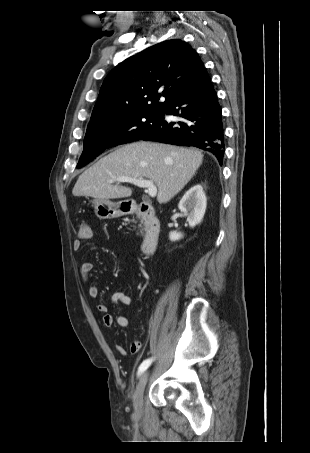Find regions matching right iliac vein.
<instances>
[{
  "label": "right iliac vein",
  "mask_w": 310,
  "mask_h": 453,
  "mask_svg": "<svg viewBox=\"0 0 310 453\" xmlns=\"http://www.w3.org/2000/svg\"><path fill=\"white\" fill-rule=\"evenodd\" d=\"M148 376H149L148 371L142 373L138 385L136 387V391L134 393V410L136 414H140L142 412L143 394L147 384Z\"/></svg>",
  "instance_id": "right-iliac-vein-1"
}]
</instances>
